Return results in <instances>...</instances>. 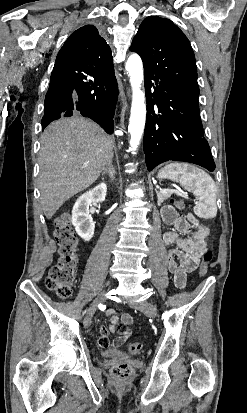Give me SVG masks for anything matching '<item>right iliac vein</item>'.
I'll return each mask as SVG.
<instances>
[{
  "mask_svg": "<svg viewBox=\"0 0 247 413\" xmlns=\"http://www.w3.org/2000/svg\"><path fill=\"white\" fill-rule=\"evenodd\" d=\"M105 301H106V295L104 293L99 294L96 297V299L93 301V303L91 304V309L88 311L84 319V326L86 328L91 326L95 306H97L100 303H104Z\"/></svg>",
  "mask_w": 247,
  "mask_h": 413,
  "instance_id": "right-iliac-vein-1",
  "label": "right iliac vein"
}]
</instances>
